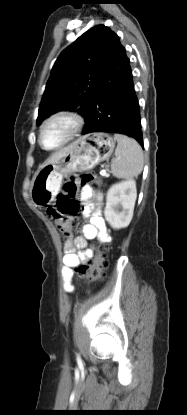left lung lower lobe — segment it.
<instances>
[{"instance_id": "obj_1", "label": "left lung lower lobe", "mask_w": 187, "mask_h": 415, "mask_svg": "<svg viewBox=\"0 0 187 415\" xmlns=\"http://www.w3.org/2000/svg\"><path fill=\"white\" fill-rule=\"evenodd\" d=\"M92 115L85 119L83 134H126L143 147L139 103L130 60L119 38L98 79L92 98ZM94 109L97 113L93 114Z\"/></svg>"}]
</instances>
